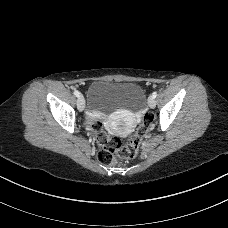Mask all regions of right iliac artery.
Instances as JSON below:
<instances>
[{"mask_svg":"<svg viewBox=\"0 0 228 228\" xmlns=\"http://www.w3.org/2000/svg\"><path fill=\"white\" fill-rule=\"evenodd\" d=\"M74 95H75L76 97H79V96H80V93H79V91H77V90H74Z\"/></svg>","mask_w":228,"mask_h":228,"instance_id":"1","label":"right iliac artery"}]
</instances>
